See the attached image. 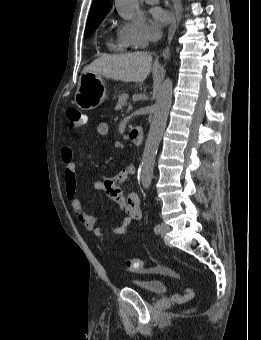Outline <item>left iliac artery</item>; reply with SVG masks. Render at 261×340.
I'll use <instances>...</instances> for the list:
<instances>
[{
	"label": "left iliac artery",
	"instance_id": "obj_1",
	"mask_svg": "<svg viewBox=\"0 0 261 340\" xmlns=\"http://www.w3.org/2000/svg\"><path fill=\"white\" fill-rule=\"evenodd\" d=\"M160 229H161V227H160V225H159V224L155 225V227H154V231H155V233L159 232V231H160Z\"/></svg>",
	"mask_w": 261,
	"mask_h": 340
}]
</instances>
